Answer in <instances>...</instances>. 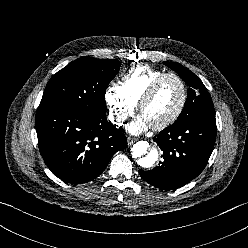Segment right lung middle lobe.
Masks as SVG:
<instances>
[{"label": "right lung middle lobe", "mask_w": 248, "mask_h": 248, "mask_svg": "<svg viewBox=\"0 0 248 248\" xmlns=\"http://www.w3.org/2000/svg\"><path fill=\"white\" fill-rule=\"evenodd\" d=\"M121 63L113 59L81 57L54 74L39 107L62 106L105 115V91Z\"/></svg>", "instance_id": "right-lung-middle-lobe-1"}]
</instances>
